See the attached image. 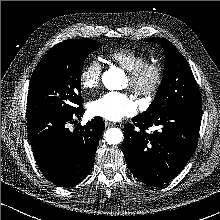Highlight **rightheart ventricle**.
<instances>
[{
	"label": "right heart ventricle",
	"mask_w": 220,
	"mask_h": 220,
	"mask_svg": "<svg viewBox=\"0 0 220 220\" xmlns=\"http://www.w3.org/2000/svg\"><path fill=\"white\" fill-rule=\"evenodd\" d=\"M109 60L122 69L130 72L148 61V58L130 48H120L108 54Z\"/></svg>",
	"instance_id": "e07e8e85"
}]
</instances>
